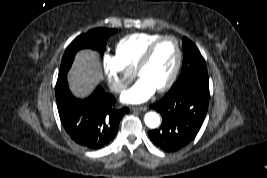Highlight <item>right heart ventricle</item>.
I'll return each mask as SVG.
<instances>
[{"label": "right heart ventricle", "mask_w": 267, "mask_h": 178, "mask_svg": "<svg viewBox=\"0 0 267 178\" xmlns=\"http://www.w3.org/2000/svg\"><path fill=\"white\" fill-rule=\"evenodd\" d=\"M161 36L159 33L145 32L125 36L116 45V57L127 70L133 72L145 50Z\"/></svg>", "instance_id": "obj_1"}]
</instances>
